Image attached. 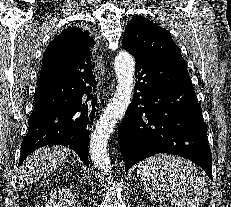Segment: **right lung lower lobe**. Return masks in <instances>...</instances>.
I'll use <instances>...</instances> for the list:
<instances>
[{
	"label": "right lung lower lobe",
	"mask_w": 231,
	"mask_h": 207,
	"mask_svg": "<svg viewBox=\"0 0 231 207\" xmlns=\"http://www.w3.org/2000/svg\"><path fill=\"white\" fill-rule=\"evenodd\" d=\"M77 66L82 70L43 64L19 164L40 147L64 145L89 166L88 138L96 111L97 81L90 57L87 63Z\"/></svg>",
	"instance_id": "98d812e1"
}]
</instances>
